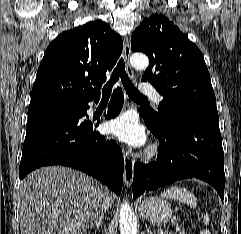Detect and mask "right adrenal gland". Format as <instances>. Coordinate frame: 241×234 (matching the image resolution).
I'll return each mask as SVG.
<instances>
[{"instance_id": "2a0ac1e0", "label": "right adrenal gland", "mask_w": 241, "mask_h": 234, "mask_svg": "<svg viewBox=\"0 0 241 234\" xmlns=\"http://www.w3.org/2000/svg\"><path fill=\"white\" fill-rule=\"evenodd\" d=\"M103 218H104L103 214H101L99 217H96L94 220V223H91L88 228L92 229V227L96 226V228L98 229L100 225L103 224Z\"/></svg>"}]
</instances>
